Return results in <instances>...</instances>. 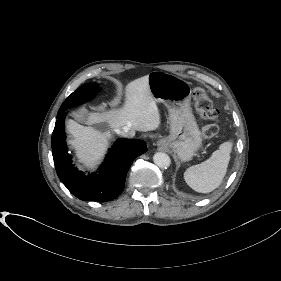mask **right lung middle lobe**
Listing matches in <instances>:
<instances>
[{
    "mask_svg": "<svg viewBox=\"0 0 281 281\" xmlns=\"http://www.w3.org/2000/svg\"><path fill=\"white\" fill-rule=\"evenodd\" d=\"M100 88L96 84L88 83L76 91H74L62 104L58 111L57 117L66 112L69 108L82 104L90 99H92Z\"/></svg>",
    "mask_w": 281,
    "mask_h": 281,
    "instance_id": "1",
    "label": "right lung middle lobe"
}]
</instances>
